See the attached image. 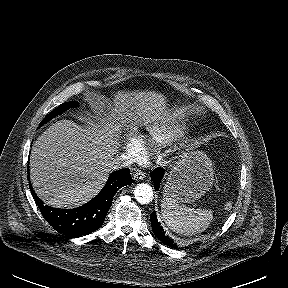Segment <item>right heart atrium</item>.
Masks as SVG:
<instances>
[{"mask_svg": "<svg viewBox=\"0 0 288 288\" xmlns=\"http://www.w3.org/2000/svg\"><path fill=\"white\" fill-rule=\"evenodd\" d=\"M124 150L133 160H139L143 156L145 148L138 136L130 135L124 141Z\"/></svg>", "mask_w": 288, "mask_h": 288, "instance_id": "1", "label": "right heart atrium"}]
</instances>
